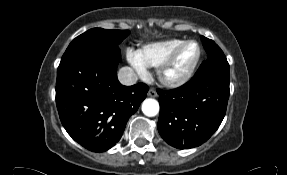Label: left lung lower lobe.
<instances>
[{"label": "left lung lower lobe", "mask_w": 287, "mask_h": 175, "mask_svg": "<svg viewBox=\"0 0 287 175\" xmlns=\"http://www.w3.org/2000/svg\"><path fill=\"white\" fill-rule=\"evenodd\" d=\"M158 131L169 145L188 149L207 141L220 126L229 99V79L214 76L158 90Z\"/></svg>", "instance_id": "0a47b994"}]
</instances>
